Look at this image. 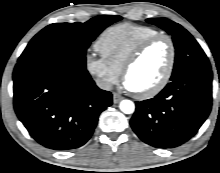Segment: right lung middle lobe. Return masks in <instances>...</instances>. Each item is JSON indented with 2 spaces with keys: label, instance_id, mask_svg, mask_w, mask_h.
<instances>
[{
  "label": "right lung middle lobe",
  "instance_id": "dd1d6c3e",
  "mask_svg": "<svg viewBox=\"0 0 220 173\" xmlns=\"http://www.w3.org/2000/svg\"><path fill=\"white\" fill-rule=\"evenodd\" d=\"M121 16L104 15L85 23H55L41 30L27 45L18 62L59 57L86 68L90 43Z\"/></svg>",
  "mask_w": 220,
  "mask_h": 173
}]
</instances>
